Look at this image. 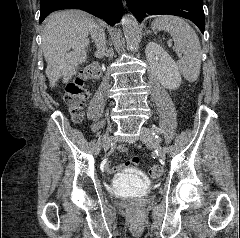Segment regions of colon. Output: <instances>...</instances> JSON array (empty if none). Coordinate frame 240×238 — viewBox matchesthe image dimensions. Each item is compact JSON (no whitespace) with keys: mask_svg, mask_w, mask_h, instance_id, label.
<instances>
[{"mask_svg":"<svg viewBox=\"0 0 240 238\" xmlns=\"http://www.w3.org/2000/svg\"><path fill=\"white\" fill-rule=\"evenodd\" d=\"M99 76V66L92 64L84 68L67 84L65 101L75 122H80L83 118L85 103L89 95V82ZM149 173L151 177L158 178L162 175L163 168L160 165H154L150 168Z\"/></svg>","mask_w":240,"mask_h":238,"instance_id":"1","label":"colon"}]
</instances>
